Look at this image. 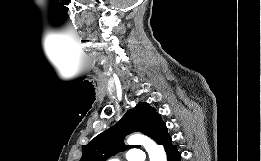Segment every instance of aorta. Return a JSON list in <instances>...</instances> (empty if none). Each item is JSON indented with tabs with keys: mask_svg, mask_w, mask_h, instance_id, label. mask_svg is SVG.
Masks as SVG:
<instances>
[{
	"mask_svg": "<svg viewBox=\"0 0 261 161\" xmlns=\"http://www.w3.org/2000/svg\"><path fill=\"white\" fill-rule=\"evenodd\" d=\"M127 142L130 145H143L148 152L150 161H167L163 146L156 144L147 136L134 134L128 138Z\"/></svg>",
	"mask_w": 261,
	"mask_h": 161,
	"instance_id": "obj_1",
	"label": "aorta"
}]
</instances>
